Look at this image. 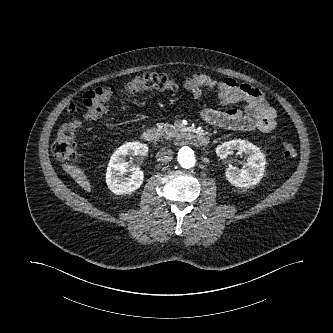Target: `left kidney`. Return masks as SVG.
Returning <instances> with one entry per match:
<instances>
[{
  "mask_svg": "<svg viewBox=\"0 0 333 333\" xmlns=\"http://www.w3.org/2000/svg\"><path fill=\"white\" fill-rule=\"evenodd\" d=\"M234 150H237L240 154H246L248 162L245 169L229 166L225 173L227 180L233 186L239 188H248L256 185L264 174L265 156L257 146L240 139L231 140L219 145L216 148V153L220 158H227Z\"/></svg>",
  "mask_w": 333,
  "mask_h": 333,
  "instance_id": "5707ae66",
  "label": "left kidney"
}]
</instances>
